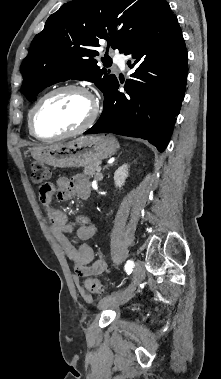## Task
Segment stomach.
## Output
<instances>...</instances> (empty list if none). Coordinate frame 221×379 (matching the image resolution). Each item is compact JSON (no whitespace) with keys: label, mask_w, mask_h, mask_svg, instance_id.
I'll return each instance as SVG.
<instances>
[{"label":"stomach","mask_w":221,"mask_h":379,"mask_svg":"<svg viewBox=\"0 0 221 379\" xmlns=\"http://www.w3.org/2000/svg\"><path fill=\"white\" fill-rule=\"evenodd\" d=\"M118 147L117 140L111 135H89L66 143L33 148L31 155L37 161L53 167H80L100 164L103 159L111 157Z\"/></svg>","instance_id":"0dacf381"}]
</instances>
